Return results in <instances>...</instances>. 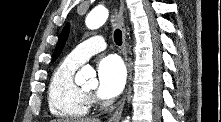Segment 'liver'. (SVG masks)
<instances>
[{
  "mask_svg": "<svg viewBox=\"0 0 221 122\" xmlns=\"http://www.w3.org/2000/svg\"><path fill=\"white\" fill-rule=\"evenodd\" d=\"M52 122H100L99 119H95V118H75V119H57V120H53Z\"/></svg>",
  "mask_w": 221,
  "mask_h": 122,
  "instance_id": "1",
  "label": "liver"
}]
</instances>
